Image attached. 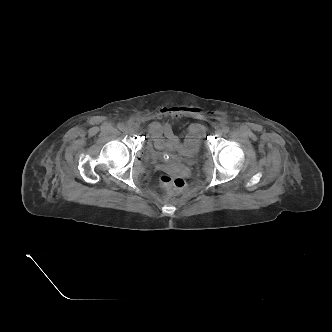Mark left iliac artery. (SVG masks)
<instances>
[{
	"mask_svg": "<svg viewBox=\"0 0 332 332\" xmlns=\"http://www.w3.org/2000/svg\"><path fill=\"white\" fill-rule=\"evenodd\" d=\"M230 131V128L228 126L223 127V132L228 133Z\"/></svg>",
	"mask_w": 332,
	"mask_h": 332,
	"instance_id": "1",
	"label": "left iliac artery"
}]
</instances>
